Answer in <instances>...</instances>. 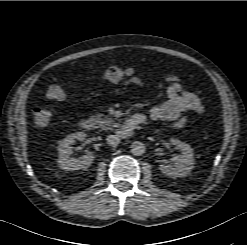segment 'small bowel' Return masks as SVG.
<instances>
[{
	"instance_id": "1",
	"label": "small bowel",
	"mask_w": 247,
	"mask_h": 245,
	"mask_svg": "<svg viewBox=\"0 0 247 245\" xmlns=\"http://www.w3.org/2000/svg\"><path fill=\"white\" fill-rule=\"evenodd\" d=\"M165 81L167 84H158V89L165 90L167 94V100L160 105L153 107L150 110L149 117L138 114L143 118V123L145 124L148 120L153 121H176L180 118L182 113L186 111H192L198 114L204 112V105L202 104L199 97L187 91L181 80L173 74H168L165 76ZM122 85H137L144 87L146 86V81L140 76L130 77L122 82Z\"/></svg>"
}]
</instances>
